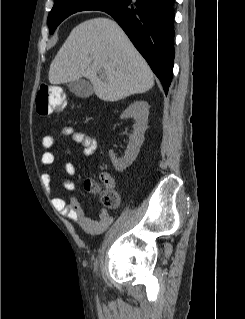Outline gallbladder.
I'll list each match as a JSON object with an SVG mask.
<instances>
[{
	"label": "gallbladder",
	"mask_w": 245,
	"mask_h": 319,
	"mask_svg": "<svg viewBox=\"0 0 245 319\" xmlns=\"http://www.w3.org/2000/svg\"><path fill=\"white\" fill-rule=\"evenodd\" d=\"M68 89L77 97L87 98L93 94L91 84L84 80L78 79L67 84Z\"/></svg>",
	"instance_id": "bac80fb5"
}]
</instances>
